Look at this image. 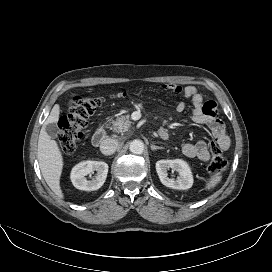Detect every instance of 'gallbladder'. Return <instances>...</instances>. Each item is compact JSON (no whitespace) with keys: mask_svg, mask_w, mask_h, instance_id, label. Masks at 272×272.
<instances>
[{"mask_svg":"<svg viewBox=\"0 0 272 272\" xmlns=\"http://www.w3.org/2000/svg\"><path fill=\"white\" fill-rule=\"evenodd\" d=\"M45 129H46L47 134L53 139L57 138V135L60 131L57 124H55V123L47 124L45 126Z\"/></svg>","mask_w":272,"mask_h":272,"instance_id":"bac80fb5","label":"gallbladder"}]
</instances>
